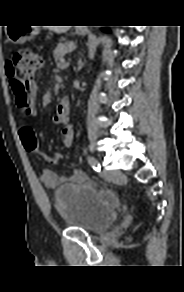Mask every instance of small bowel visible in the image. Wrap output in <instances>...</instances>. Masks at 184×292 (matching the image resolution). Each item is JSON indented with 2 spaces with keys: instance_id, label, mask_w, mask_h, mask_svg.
<instances>
[{
  "instance_id": "small-bowel-1",
  "label": "small bowel",
  "mask_w": 184,
  "mask_h": 292,
  "mask_svg": "<svg viewBox=\"0 0 184 292\" xmlns=\"http://www.w3.org/2000/svg\"><path fill=\"white\" fill-rule=\"evenodd\" d=\"M32 87L36 89V83L32 81L31 83ZM13 89V88H12ZM13 93L16 98V104L20 113L21 118L23 119V123L19 129V134L21 132V129L25 126H30L26 119L20 112L19 105H18V96L13 89ZM54 122L56 124H64V128L62 130V141L65 147L70 148L73 145L74 141V128L72 125L68 124L65 118H59L56 116L54 118ZM87 175L78 169H74L69 176H59L57 173H55L52 170H44L40 174V180L42 184L47 188H56L57 186L69 181L71 183L81 184L87 181Z\"/></svg>"
}]
</instances>
